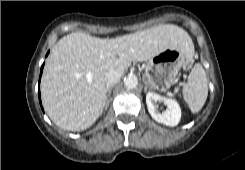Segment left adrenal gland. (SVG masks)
<instances>
[{
  "instance_id": "obj_1",
  "label": "left adrenal gland",
  "mask_w": 245,
  "mask_h": 170,
  "mask_svg": "<svg viewBox=\"0 0 245 170\" xmlns=\"http://www.w3.org/2000/svg\"><path fill=\"white\" fill-rule=\"evenodd\" d=\"M144 83H145L144 92H147V89L150 88V86L146 81H144Z\"/></svg>"
}]
</instances>
